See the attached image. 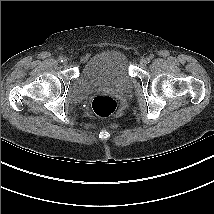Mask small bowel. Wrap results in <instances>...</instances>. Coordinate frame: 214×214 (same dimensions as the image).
<instances>
[{"label": "small bowel", "instance_id": "1", "mask_svg": "<svg viewBox=\"0 0 214 214\" xmlns=\"http://www.w3.org/2000/svg\"><path fill=\"white\" fill-rule=\"evenodd\" d=\"M90 56V52H87L84 57H83V60L86 61L88 59V57Z\"/></svg>", "mask_w": 214, "mask_h": 214}]
</instances>
